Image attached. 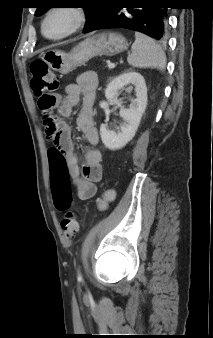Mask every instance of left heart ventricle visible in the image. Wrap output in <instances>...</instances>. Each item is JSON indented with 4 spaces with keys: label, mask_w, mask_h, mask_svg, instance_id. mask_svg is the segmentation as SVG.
I'll use <instances>...</instances> for the list:
<instances>
[{
    "label": "left heart ventricle",
    "mask_w": 213,
    "mask_h": 338,
    "mask_svg": "<svg viewBox=\"0 0 213 338\" xmlns=\"http://www.w3.org/2000/svg\"><path fill=\"white\" fill-rule=\"evenodd\" d=\"M72 25V17L66 11H58L52 14L46 24V33L56 36L67 31Z\"/></svg>",
    "instance_id": "left-heart-ventricle-1"
}]
</instances>
